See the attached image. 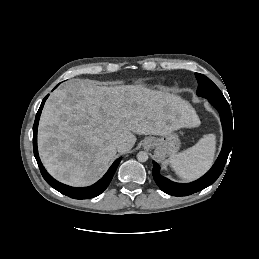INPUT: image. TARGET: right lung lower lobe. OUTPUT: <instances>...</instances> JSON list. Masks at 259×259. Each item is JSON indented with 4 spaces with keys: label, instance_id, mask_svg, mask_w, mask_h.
<instances>
[{
    "label": "right lung lower lobe",
    "instance_id": "obj_1",
    "mask_svg": "<svg viewBox=\"0 0 259 259\" xmlns=\"http://www.w3.org/2000/svg\"><path fill=\"white\" fill-rule=\"evenodd\" d=\"M57 87V86H56ZM55 87V88H56ZM49 95H47L41 105L40 108L36 114V118H35V122H34V126H33V148H34V156L37 160L38 166L40 168L41 174L43 176V178L46 180V182L52 186L54 189H56L57 191H59L60 193L69 196L71 198L74 199H88V198H93L98 196L99 194H101L109 185L110 181L113 178V175L121 161V158H118L109 168V170L107 171V173L98 181L96 182L94 185L89 186V187H84V188H74V187H70L67 185H64L58 181H56L53 177H51L49 175V173H47V171L45 170V168L43 167L39 155H38V149H37V128H38V122H39V118L41 115V111L43 108V105L47 99Z\"/></svg>",
    "mask_w": 259,
    "mask_h": 259
}]
</instances>
